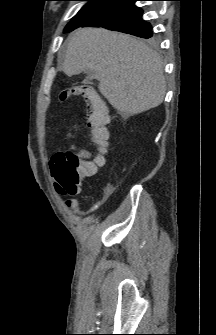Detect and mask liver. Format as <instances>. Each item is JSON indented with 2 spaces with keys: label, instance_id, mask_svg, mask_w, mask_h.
<instances>
[{
  "label": "liver",
  "instance_id": "liver-1",
  "mask_svg": "<svg viewBox=\"0 0 216 335\" xmlns=\"http://www.w3.org/2000/svg\"><path fill=\"white\" fill-rule=\"evenodd\" d=\"M63 72L95 74L98 89L122 115H135L159 106L166 82L162 61L144 42L103 28H80L71 36Z\"/></svg>",
  "mask_w": 216,
  "mask_h": 335
}]
</instances>
